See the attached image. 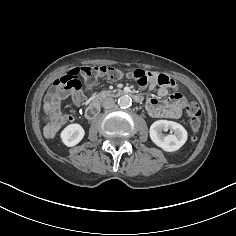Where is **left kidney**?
<instances>
[{
    "instance_id": "1",
    "label": "left kidney",
    "mask_w": 236,
    "mask_h": 236,
    "mask_svg": "<svg viewBox=\"0 0 236 236\" xmlns=\"http://www.w3.org/2000/svg\"><path fill=\"white\" fill-rule=\"evenodd\" d=\"M173 130V134L165 135L162 131ZM151 140L164 151L174 152L187 141V131L179 123L168 120H157L150 127Z\"/></svg>"
}]
</instances>
